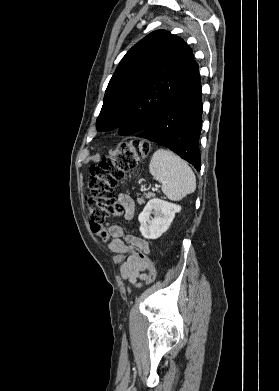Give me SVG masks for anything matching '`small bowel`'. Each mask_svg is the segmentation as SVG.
Returning a JSON list of instances; mask_svg holds the SVG:
<instances>
[{"instance_id": "1", "label": "small bowel", "mask_w": 279, "mask_h": 391, "mask_svg": "<svg viewBox=\"0 0 279 391\" xmlns=\"http://www.w3.org/2000/svg\"><path fill=\"white\" fill-rule=\"evenodd\" d=\"M118 203L123 208L125 219H131L134 214V201L132 198L127 194H120L118 196ZM107 232L109 233L110 238H112L109 243V249L115 253L127 255V258L121 267L122 277L135 287H140V281L147 280V274L144 271L148 269V264L134 254L131 247L141 250L149 258L150 248L148 242L143 238L126 234L122 227L118 225L109 226ZM122 239H125L128 244Z\"/></svg>"}]
</instances>
